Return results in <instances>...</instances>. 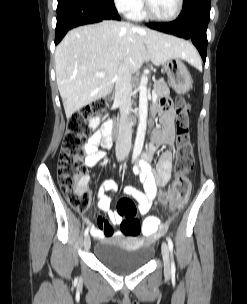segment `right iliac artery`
Masks as SVG:
<instances>
[{"label":"right iliac artery","instance_id":"right-iliac-artery-1","mask_svg":"<svg viewBox=\"0 0 247 304\" xmlns=\"http://www.w3.org/2000/svg\"><path fill=\"white\" fill-rule=\"evenodd\" d=\"M89 232V228H86V230L84 231V236H87Z\"/></svg>","mask_w":247,"mask_h":304}]
</instances>
